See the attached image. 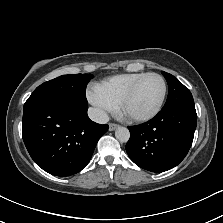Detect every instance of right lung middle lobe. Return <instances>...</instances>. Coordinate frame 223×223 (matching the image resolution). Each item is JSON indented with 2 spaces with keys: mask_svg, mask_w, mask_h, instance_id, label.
Instances as JSON below:
<instances>
[{
  "mask_svg": "<svg viewBox=\"0 0 223 223\" xmlns=\"http://www.w3.org/2000/svg\"><path fill=\"white\" fill-rule=\"evenodd\" d=\"M92 77L91 74H69L44 82L27 99L24 109L62 101L87 104L86 86Z\"/></svg>",
  "mask_w": 223,
  "mask_h": 223,
  "instance_id": "1",
  "label": "right lung middle lobe"
}]
</instances>
